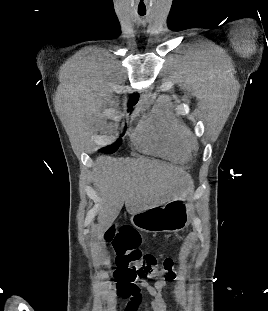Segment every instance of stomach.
<instances>
[{
  "mask_svg": "<svg viewBox=\"0 0 268 311\" xmlns=\"http://www.w3.org/2000/svg\"><path fill=\"white\" fill-rule=\"evenodd\" d=\"M190 218L191 205L183 195L163 207L156 206L132 214L131 223L145 232H179L189 225Z\"/></svg>",
  "mask_w": 268,
  "mask_h": 311,
  "instance_id": "stomach-1",
  "label": "stomach"
}]
</instances>
